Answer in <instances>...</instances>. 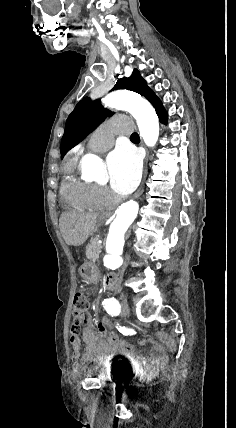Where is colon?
I'll return each instance as SVG.
<instances>
[{
	"mask_svg": "<svg viewBox=\"0 0 236 428\" xmlns=\"http://www.w3.org/2000/svg\"><path fill=\"white\" fill-rule=\"evenodd\" d=\"M88 288L82 286L77 293L75 294L73 300V320L70 330L71 336H77L81 330V327L84 324L85 320V311L88 307ZM99 324L103 327L109 326L114 327V323L109 319L102 318ZM156 338L163 343L172 353H175L177 346L175 341L164 332H157L155 334Z\"/></svg>",
	"mask_w": 236,
	"mask_h": 428,
	"instance_id": "colon-1",
	"label": "colon"
}]
</instances>
